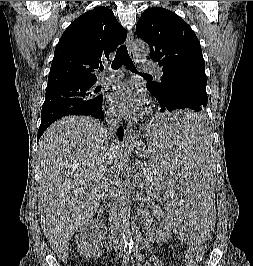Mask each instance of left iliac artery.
Here are the masks:
<instances>
[{"label":"left iliac artery","instance_id":"44dca946","mask_svg":"<svg viewBox=\"0 0 253 266\" xmlns=\"http://www.w3.org/2000/svg\"><path fill=\"white\" fill-rule=\"evenodd\" d=\"M133 253H134V256L143 261L144 260V257L142 256V254L138 251V248L136 246L133 247Z\"/></svg>","mask_w":253,"mask_h":266}]
</instances>
